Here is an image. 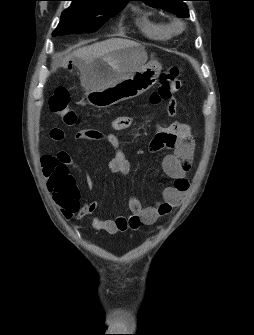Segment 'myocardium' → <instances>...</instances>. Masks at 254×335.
Segmentation results:
<instances>
[{"instance_id": "f54148a6", "label": "myocardium", "mask_w": 254, "mask_h": 335, "mask_svg": "<svg viewBox=\"0 0 254 335\" xmlns=\"http://www.w3.org/2000/svg\"><path fill=\"white\" fill-rule=\"evenodd\" d=\"M170 28L174 32H179L183 29V24L181 21L176 20L171 24Z\"/></svg>"}]
</instances>
